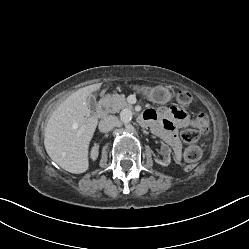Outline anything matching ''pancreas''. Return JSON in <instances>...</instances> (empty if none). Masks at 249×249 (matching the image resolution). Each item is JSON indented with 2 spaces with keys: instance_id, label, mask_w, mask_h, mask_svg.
<instances>
[{
  "instance_id": "obj_1",
  "label": "pancreas",
  "mask_w": 249,
  "mask_h": 249,
  "mask_svg": "<svg viewBox=\"0 0 249 249\" xmlns=\"http://www.w3.org/2000/svg\"><path fill=\"white\" fill-rule=\"evenodd\" d=\"M108 105L111 107L112 113H117L123 108H128L130 105L126 102L124 95L113 94L107 97Z\"/></svg>"
}]
</instances>
